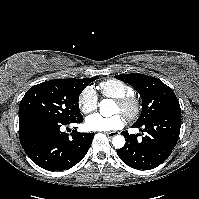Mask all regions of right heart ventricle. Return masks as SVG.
Here are the masks:
<instances>
[{
  "mask_svg": "<svg viewBox=\"0 0 199 199\" xmlns=\"http://www.w3.org/2000/svg\"><path fill=\"white\" fill-rule=\"evenodd\" d=\"M100 91L103 96L118 99L134 93V88L123 81L110 79L100 84Z\"/></svg>",
  "mask_w": 199,
  "mask_h": 199,
  "instance_id": "e07e8e85",
  "label": "right heart ventricle"
}]
</instances>
